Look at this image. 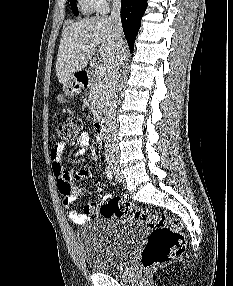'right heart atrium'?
<instances>
[{"instance_id":"right-heart-atrium-1","label":"right heart atrium","mask_w":233,"mask_h":286,"mask_svg":"<svg viewBox=\"0 0 233 286\" xmlns=\"http://www.w3.org/2000/svg\"><path fill=\"white\" fill-rule=\"evenodd\" d=\"M111 0H93L98 11H106Z\"/></svg>"}]
</instances>
